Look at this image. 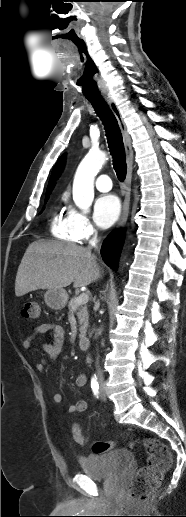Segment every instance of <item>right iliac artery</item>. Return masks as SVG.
I'll return each mask as SVG.
<instances>
[{
  "label": "right iliac artery",
  "instance_id": "obj_1",
  "mask_svg": "<svg viewBox=\"0 0 186 517\" xmlns=\"http://www.w3.org/2000/svg\"><path fill=\"white\" fill-rule=\"evenodd\" d=\"M91 388H92V391H93L94 395L96 397H98V395H99V384H98L96 375H94L92 377V379H91Z\"/></svg>",
  "mask_w": 186,
  "mask_h": 517
}]
</instances>
